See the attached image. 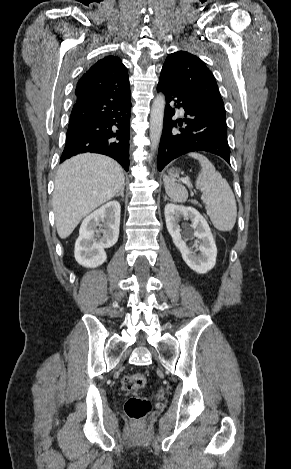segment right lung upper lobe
<instances>
[{
	"mask_svg": "<svg viewBox=\"0 0 291 469\" xmlns=\"http://www.w3.org/2000/svg\"><path fill=\"white\" fill-rule=\"evenodd\" d=\"M103 91L130 92L127 68L116 56L98 60L84 73L77 84L75 95L79 100Z\"/></svg>",
	"mask_w": 291,
	"mask_h": 469,
	"instance_id": "right-lung-upper-lobe-1",
	"label": "right lung upper lobe"
}]
</instances>
